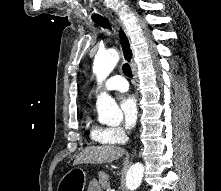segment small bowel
<instances>
[{
  "mask_svg": "<svg viewBox=\"0 0 221 191\" xmlns=\"http://www.w3.org/2000/svg\"><path fill=\"white\" fill-rule=\"evenodd\" d=\"M88 191H101V188L96 180H92L89 183Z\"/></svg>",
  "mask_w": 221,
  "mask_h": 191,
  "instance_id": "obj_1",
  "label": "small bowel"
}]
</instances>
